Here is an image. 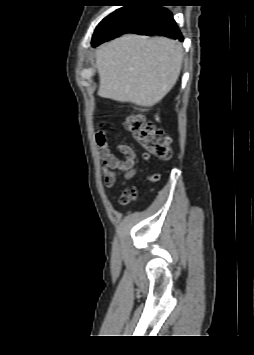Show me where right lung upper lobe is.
<instances>
[{
  "label": "right lung upper lobe",
  "mask_w": 254,
  "mask_h": 355,
  "mask_svg": "<svg viewBox=\"0 0 254 355\" xmlns=\"http://www.w3.org/2000/svg\"><path fill=\"white\" fill-rule=\"evenodd\" d=\"M120 1H126L124 3H134V2H138V1H142V0H120Z\"/></svg>",
  "instance_id": "obj_1"
}]
</instances>
